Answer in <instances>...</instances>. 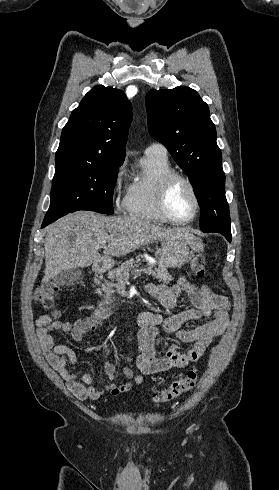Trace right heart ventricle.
<instances>
[{"mask_svg": "<svg viewBox=\"0 0 279 490\" xmlns=\"http://www.w3.org/2000/svg\"><path fill=\"white\" fill-rule=\"evenodd\" d=\"M144 176L129 188L126 199V213L135 219L167 224L169 221L161 214L158 196L162 178L172 172L168 157L145 155L142 160Z\"/></svg>", "mask_w": 279, "mask_h": 490, "instance_id": "obj_1", "label": "right heart ventricle"}]
</instances>
